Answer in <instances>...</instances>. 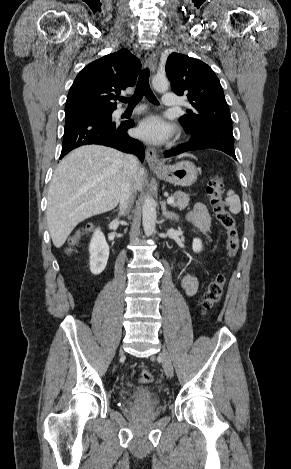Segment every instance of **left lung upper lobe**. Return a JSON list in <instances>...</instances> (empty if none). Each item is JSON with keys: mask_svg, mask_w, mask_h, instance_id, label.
Returning <instances> with one entry per match:
<instances>
[{"mask_svg": "<svg viewBox=\"0 0 291 469\" xmlns=\"http://www.w3.org/2000/svg\"><path fill=\"white\" fill-rule=\"evenodd\" d=\"M166 74L173 91L187 95L192 107L180 117L182 127L191 134L207 129L232 131V119L223 89L214 71L204 62L172 53Z\"/></svg>", "mask_w": 291, "mask_h": 469, "instance_id": "left-lung-upper-lobe-1", "label": "left lung upper lobe"}]
</instances>
